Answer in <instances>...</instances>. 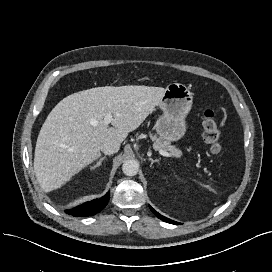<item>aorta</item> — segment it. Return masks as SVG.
<instances>
[{
    "label": "aorta",
    "instance_id": "aorta-1",
    "mask_svg": "<svg viewBox=\"0 0 272 272\" xmlns=\"http://www.w3.org/2000/svg\"><path fill=\"white\" fill-rule=\"evenodd\" d=\"M138 170L139 164L135 160H126L122 165V171L127 176H135Z\"/></svg>",
    "mask_w": 272,
    "mask_h": 272
}]
</instances>
